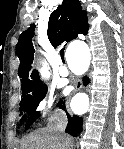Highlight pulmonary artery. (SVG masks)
Masks as SVG:
<instances>
[{
    "label": "pulmonary artery",
    "instance_id": "1",
    "mask_svg": "<svg viewBox=\"0 0 124 149\" xmlns=\"http://www.w3.org/2000/svg\"><path fill=\"white\" fill-rule=\"evenodd\" d=\"M59 73L63 76L67 75L68 74V70L66 67H63V68H60L59 69Z\"/></svg>",
    "mask_w": 124,
    "mask_h": 149
}]
</instances>
